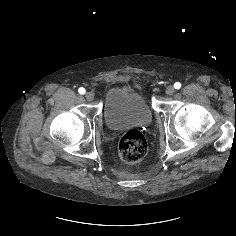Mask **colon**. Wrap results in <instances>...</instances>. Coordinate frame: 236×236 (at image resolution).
Returning <instances> with one entry per match:
<instances>
[{
    "label": "colon",
    "mask_w": 236,
    "mask_h": 236,
    "mask_svg": "<svg viewBox=\"0 0 236 236\" xmlns=\"http://www.w3.org/2000/svg\"><path fill=\"white\" fill-rule=\"evenodd\" d=\"M118 149L120 157L125 162L136 163L146 155L148 144L139 129H130L122 135Z\"/></svg>",
    "instance_id": "colon-1"
}]
</instances>
